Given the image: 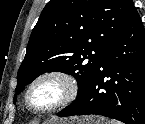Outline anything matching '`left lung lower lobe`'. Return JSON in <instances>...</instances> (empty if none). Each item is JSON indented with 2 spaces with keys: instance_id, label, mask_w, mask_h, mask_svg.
<instances>
[{
  "instance_id": "obj_1",
  "label": "left lung lower lobe",
  "mask_w": 145,
  "mask_h": 124,
  "mask_svg": "<svg viewBox=\"0 0 145 124\" xmlns=\"http://www.w3.org/2000/svg\"><path fill=\"white\" fill-rule=\"evenodd\" d=\"M85 114L125 124H145V30L136 9L109 47L86 91L58 116Z\"/></svg>"
}]
</instances>
